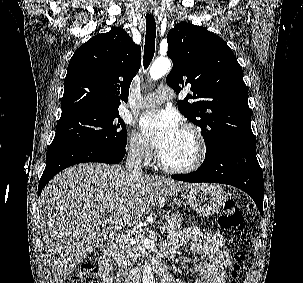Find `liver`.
Masks as SVG:
<instances>
[{
	"label": "liver",
	"instance_id": "liver-1",
	"mask_svg": "<svg viewBox=\"0 0 303 283\" xmlns=\"http://www.w3.org/2000/svg\"><path fill=\"white\" fill-rule=\"evenodd\" d=\"M191 187L165 177L133 176L118 165L85 163L57 174L39 199V222L55 283L66 277L96 248L108 247L115 229L100 225H136L167 196ZM105 223V224H106Z\"/></svg>",
	"mask_w": 303,
	"mask_h": 283
}]
</instances>
